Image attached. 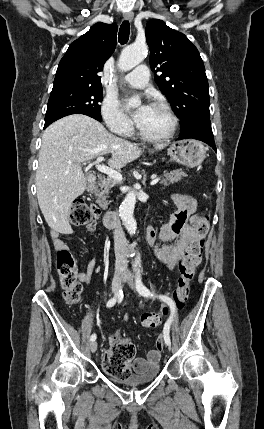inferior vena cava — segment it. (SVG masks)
<instances>
[{
  "label": "inferior vena cava",
  "instance_id": "1",
  "mask_svg": "<svg viewBox=\"0 0 264 429\" xmlns=\"http://www.w3.org/2000/svg\"><path fill=\"white\" fill-rule=\"evenodd\" d=\"M115 220L117 221V223L115 224L116 228H113L111 231L113 232L112 234L115 236V248L118 249L116 251V269L124 271L127 269L128 266V260L125 255H130L132 252L130 250H127L128 248L125 246L129 242L124 237V229L122 228L123 224L121 218L117 216Z\"/></svg>",
  "mask_w": 264,
  "mask_h": 429
}]
</instances>
